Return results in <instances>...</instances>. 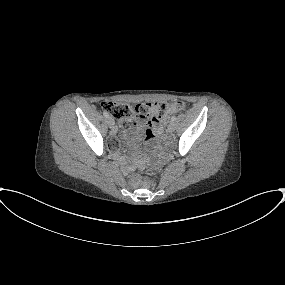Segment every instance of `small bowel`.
Instances as JSON below:
<instances>
[{
    "label": "small bowel",
    "mask_w": 285,
    "mask_h": 285,
    "mask_svg": "<svg viewBox=\"0 0 285 285\" xmlns=\"http://www.w3.org/2000/svg\"><path fill=\"white\" fill-rule=\"evenodd\" d=\"M160 130V126L153 122V121H147L145 123H137L134 125V133L136 135V137H140L144 132L148 135V136H151L154 132H158ZM119 136L123 137L124 139H127V140H131V136L126 133V132H121L119 134ZM117 136L113 137V138H110L108 139L107 141V149L110 150V151H113L116 149L117 147ZM124 166V164H123ZM135 179L132 178L131 179V184H135Z\"/></svg>",
    "instance_id": "c3829d8e"
}]
</instances>
